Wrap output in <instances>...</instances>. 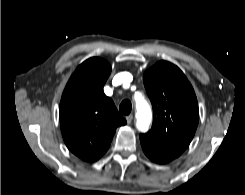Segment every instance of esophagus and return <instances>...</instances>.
<instances>
[{
  "mask_svg": "<svg viewBox=\"0 0 245 195\" xmlns=\"http://www.w3.org/2000/svg\"><path fill=\"white\" fill-rule=\"evenodd\" d=\"M132 120H133V115H128L126 117V121H127L128 124H130L132 122Z\"/></svg>",
  "mask_w": 245,
  "mask_h": 195,
  "instance_id": "obj_1",
  "label": "esophagus"
}]
</instances>
